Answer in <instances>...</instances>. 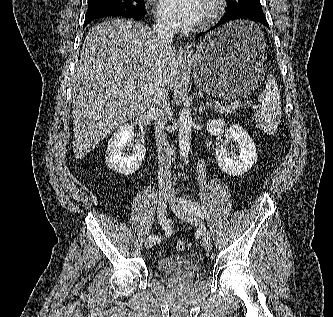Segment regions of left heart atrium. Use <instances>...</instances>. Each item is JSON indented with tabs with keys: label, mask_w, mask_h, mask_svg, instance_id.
Masks as SVG:
<instances>
[{
	"label": "left heart atrium",
	"mask_w": 333,
	"mask_h": 317,
	"mask_svg": "<svg viewBox=\"0 0 333 317\" xmlns=\"http://www.w3.org/2000/svg\"><path fill=\"white\" fill-rule=\"evenodd\" d=\"M204 0H159L160 15L171 25L186 27L202 19Z\"/></svg>",
	"instance_id": "left-heart-atrium-1"
}]
</instances>
